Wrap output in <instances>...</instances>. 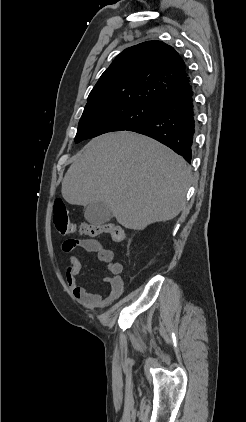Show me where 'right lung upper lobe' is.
I'll use <instances>...</instances> for the list:
<instances>
[{
	"label": "right lung upper lobe",
	"instance_id": "1",
	"mask_svg": "<svg viewBox=\"0 0 246 422\" xmlns=\"http://www.w3.org/2000/svg\"><path fill=\"white\" fill-rule=\"evenodd\" d=\"M191 89L186 64L162 41H147L121 52L90 92L85 107L116 101L160 102Z\"/></svg>",
	"mask_w": 246,
	"mask_h": 422
}]
</instances>
